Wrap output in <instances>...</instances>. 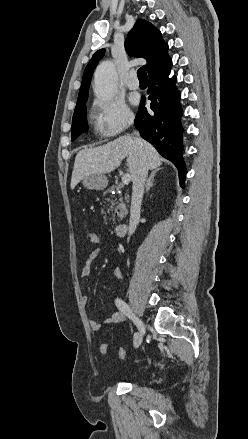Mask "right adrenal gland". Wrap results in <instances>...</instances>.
Instances as JSON below:
<instances>
[{"mask_svg": "<svg viewBox=\"0 0 248 439\" xmlns=\"http://www.w3.org/2000/svg\"><path fill=\"white\" fill-rule=\"evenodd\" d=\"M157 172H158V170H154L151 172L150 177L148 178V180L146 182V192H148L149 189L153 186L154 178H155Z\"/></svg>", "mask_w": 248, "mask_h": 439, "instance_id": "1", "label": "right adrenal gland"}]
</instances>
